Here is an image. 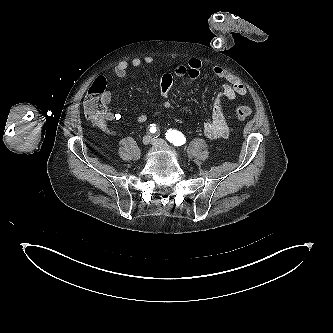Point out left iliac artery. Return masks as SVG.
I'll return each mask as SVG.
<instances>
[{
    "label": "left iliac artery",
    "mask_w": 333,
    "mask_h": 333,
    "mask_svg": "<svg viewBox=\"0 0 333 333\" xmlns=\"http://www.w3.org/2000/svg\"><path fill=\"white\" fill-rule=\"evenodd\" d=\"M165 135L166 139L171 143H173V145L175 146H181L186 142L185 136L181 132L175 129H168Z\"/></svg>",
    "instance_id": "44dca946"
}]
</instances>
